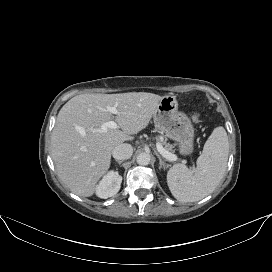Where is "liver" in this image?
<instances>
[{
  "label": "liver",
  "instance_id": "6515ba94",
  "mask_svg": "<svg viewBox=\"0 0 272 272\" xmlns=\"http://www.w3.org/2000/svg\"><path fill=\"white\" fill-rule=\"evenodd\" d=\"M161 96L146 92L82 94L59 111L51 137V155L62 182L76 195L92 196L110 168L113 149L146 128ZM115 107L114 117L107 110ZM114 119L119 128L101 126Z\"/></svg>",
  "mask_w": 272,
  "mask_h": 272
}]
</instances>
